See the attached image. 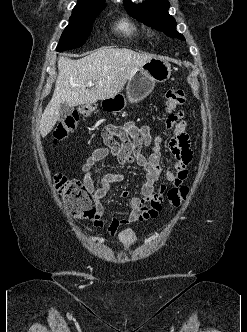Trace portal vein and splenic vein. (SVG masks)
Returning <instances> with one entry per match:
<instances>
[{"instance_id":"1","label":"portal vein and splenic vein","mask_w":247,"mask_h":332,"mask_svg":"<svg viewBox=\"0 0 247 332\" xmlns=\"http://www.w3.org/2000/svg\"><path fill=\"white\" fill-rule=\"evenodd\" d=\"M95 84L92 82V81H89L87 84H86V86H89V87H91V86H94Z\"/></svg>"}]
</instances>
